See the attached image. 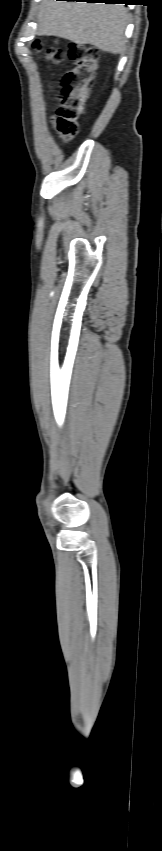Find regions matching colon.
Here are the masks:
<instances>
[{
    "mask_svg": "<svg viewBox=\"0 0 162 851\" xmlns=\"http://www.w3.org/2000/svg\"><path fill=\"white\" fill-rule=\"evenodd\" d=\"M33 49L40 53L43 45L35 41ZM67 54L72 62L61 79V101L57 106V128L60 133L70 140L78 131V120L83 113L85 100L91 81L98 67V51L91 46L72 44ZM44 57L51 63L62 62L64 53L57 47L50 46L44 52Z\"/></svg>",
    "mask_w": 162,
    "mask_h": 851,
    "instance_id": "5ec220e1",
    "label": "colon"
}]
</instances>
